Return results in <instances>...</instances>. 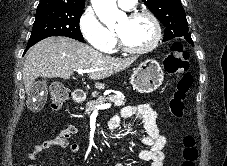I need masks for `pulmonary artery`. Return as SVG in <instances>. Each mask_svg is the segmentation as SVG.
<instances>
[{
	"instance_id": "pulmonary-artery-1",
	"label": "pulmonary artery",
	"mask_w": 227,
	"mask_h": 166,
	"mask_svg": "<svg viewBox=\"0 0 227 166\" xmlns=\"http://www.w3.org/2000/svg\"><path fill=\"white\" fill-rule=\"evenodd\" d=\"M136 2L137 0H118L119 6L124 10L132 9L135 6Z\"/></svg>"
}]
</instances>
